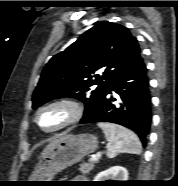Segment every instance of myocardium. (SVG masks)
<instances>
[{"instance_id":"obj_1","label":"myocardium","mask_w":178,"mask_h":186,"mask_svg":"<svg viewBox=\"0 0 178 186\" xmlns=\"http://www.w3.org/2000/svg\"><path fill=\"white\" fill-rule=\"evenodd\" d=\"M56 106L64 107L67 110L68 116L66 120L55 128L52 129L43 128L40 125L38 120L40 113L46 109L56 107ZM83 114H84V107L79 101L72 98H59L41 105L34 114V122L36 126L44 133L54 134L78 123L82 119Z\"/></svg>"}]
</instances>
